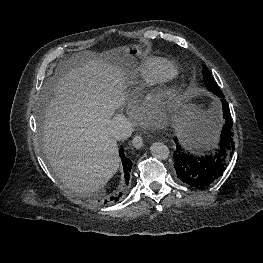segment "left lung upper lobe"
<instances>
[{"mask_svg":"<svg viewBox=\"0 0 263 263\" xmlns=\"http://www.w3.org/2000/svg\"><path fill=\"white\" fill-rule=\"evenodd\" d=\"M203 79H204V83L207 84V87L210 91L214 92L215 94H221V90L218 86V84L216 83V81L214 80V78L211 76V73L209 72V70L207 69V67L205 65H203Z\"/></svg>","mask_w":263,"mask_h":263,"instance_id":"1","label":"left lung upper lobe"}]
</instances>
